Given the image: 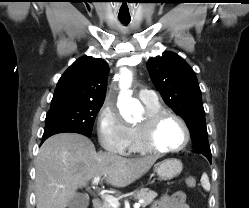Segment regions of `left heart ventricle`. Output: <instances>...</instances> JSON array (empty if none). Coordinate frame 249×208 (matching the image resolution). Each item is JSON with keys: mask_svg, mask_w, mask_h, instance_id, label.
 Masks as SVG:
<instances>
[{"mask_svg": "<svg viewBox=\"0 0 249 208\" xmlns=\"http://www.w3.org/2000/svg\"><path fill=\"white\" fill-rule=\"evenodd\" d=\"M185 138L184 130L175 119H165L152 136L155 146L162 149L179 147Z\"/></svg>", "mask_w": 249, "mask_h": 208, "instance_id": "b2bd125f", "label": "left heart ventricle"}]
</instances>
